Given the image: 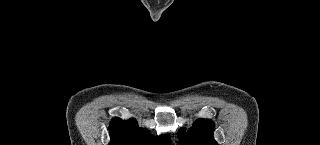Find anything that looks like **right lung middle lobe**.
<instances>
[{"mask_svg":"<svg viewBox=\"0 0 320 145\" xmlns=\"http://www.w3.org/2000/svg\"><path fill=\"white\" fill-rule=\"evenodd\" d=\"M169 144V142H167V143H165V144H163V145H168Z\"/></svg>","mask_w":320,"mask_h":145,"instance_id":"1","label":"right lung middle lobe"}]
</instances>
